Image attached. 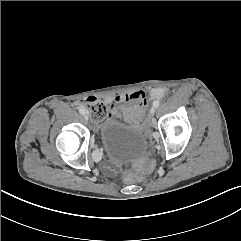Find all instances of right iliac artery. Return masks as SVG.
I'll return each mask as SVG.
<instances>
[{
    "label": "right iliac artery",
    "mask_w": 241,
    "mask_h": 241,
    "mask_svg": "<svg viewBox=\"0 0 241 241\" xmlns=\"http://www.w3.org/2000/svg\"><path fill=\"white\" fill-rule=\"evenodd\" d=\"M79 112H80L81 114H85V113H86L84 109H79Z\"/></svg>",
    "instance_id": "obj_1"
}]
</instances>
